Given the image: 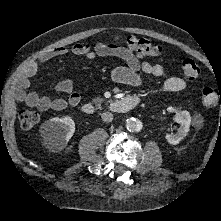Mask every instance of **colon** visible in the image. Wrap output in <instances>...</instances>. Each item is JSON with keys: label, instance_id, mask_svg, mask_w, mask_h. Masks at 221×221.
Listing matches in <instances>:
<instances>
[{"label": "colon", "instance_id": "colon-1", "mask_svg": "<svg viewBox=\"0 0 221 221\" xmlns=\"http://www.w3.org/2000/svg\"><path fill=\"white\" fill-rule=\"evenodd\" d=\"M115 48L125 49L139 56L159 58L162 55V47L149 39L129 36L125 39L118 38ZM181 74L186 80H196L200 75L198 64L192 59H185L181 63ZM201 103L204 108H213L221 104V96L212 88L205 87L201 91ZM39 122V114L34 110H24L19 115V123L24 129H31Z\"/></svg>", "mask_w": 221, "mask_h": 221}]
</instances>
